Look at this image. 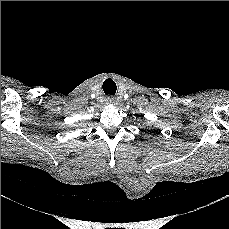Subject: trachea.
<instances>
[{"instance_id":"3493384b","label":"trachea","mask_w":229,"mask_h":229,"mask_svg":"<svg viewBox=\"0 0 229 229\" xmlns=\"http://www.w3.org/2000/svg\"><path fill=\"white\" fill-rule=\"evenodd\" d=\"M116 84L112 79H107L103 83V90L106 95H112L114 96L116 93Z\"/></svg>"}]
</instances>
